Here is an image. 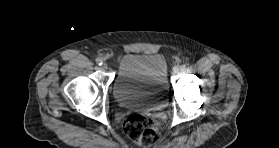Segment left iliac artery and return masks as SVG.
<instances>
[{
  "label": "left iliac artery",
  "mask_w": 279,
  "mask_h": 148,
  "mask_svg": "<svg viewBox=\"0 0 279 148\" xmlns=\"http://www.w3.org/2000/svg\"><path fill=\"white\" fill-rule=\"evenodd\" d=\"M185 69H186V65H182L181 70H185Z\"/></svg>",
  "instance_id": "1"
}]
</instances>
